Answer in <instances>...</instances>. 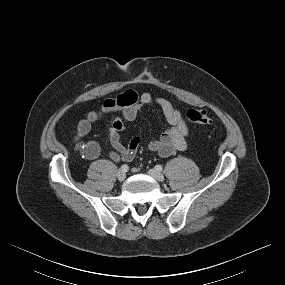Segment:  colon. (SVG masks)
<instances>
[{"instance_id":"1","label":"colon","mask_w":285,"mask_h":285,"mask_svg":"<svg viewBox=\"0 0 285 285\" xmlns=\"http://www.w3.org/2000/svg\"><path fill=\"white\" fill-rule=\"evenodd\" d=\"M187 117L191 122L199 125H207L211 123L210 116L204 110H196V109L190 110L187 113Z\"/></svg>"}]
</instances>
